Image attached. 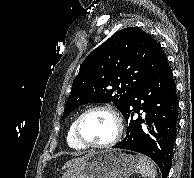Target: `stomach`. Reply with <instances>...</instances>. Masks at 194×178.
<instances>
[{
	"instance_id": "obj_1",
	"label": "stomach",
	"mask_w": 194,
	"mask_h": 178,
	"mask_svg": "<svg viewBox=\"0 0 194 178\" xmlns=\"http://www.w3.org/2000/svg\"><path fill=\"white\" fill-rule=\"evenodd\" d=\"M139 168L138 155L126 150H102L91 153L82 162L68 168L61 178H128Z\"/></svg>"
}]
</instances>
